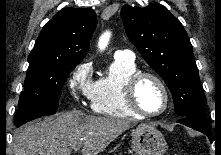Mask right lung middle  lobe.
I'll use <instances>...</instances> for the list:
<instances>
[{
	"instance_id": "1",
	"label": "right lung middle lobe",
	"mask_w": 221,
	"mask_h": 155,
	"mask_svg": "<svg viewBox=\"0 0 221 155\" xmlns=\"http://www.w3.org/2000/svg\"><path fill=\"white\" fill-rule=\"evenodd\" d=\"M28 62L25 89L20 95L15 126L40 116L54 114L62 86L77 65L49 60Z\"/></svg>"
}]
</instances>
